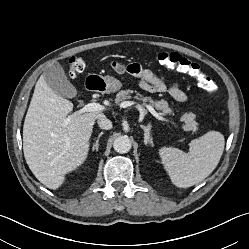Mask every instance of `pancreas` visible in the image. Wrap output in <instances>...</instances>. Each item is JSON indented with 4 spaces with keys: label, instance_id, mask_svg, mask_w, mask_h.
Returning <instances> with one entry per match:
<instances>
[{
    "label": "pancreas",
    "instance_id": "1",
    "mask_svg": "<svg viewBox=\"0 0 249 249\" xmlns=\"http://www.w3.org/2000/svg\"><path fill=\"white\" fill-rule=\"evenodd\" d=\"M136 93L135 98L138 100H141L144 103H149L150 106L154 107L156 110H159L161 112V114L165 115V114H171L172 110L169 107L168 103L164 100L161 101H154L151 97L148 96H143L142 94L133 91V90H121L117 95H116V99L115 102L117 104L120 103H124L126 102V100L131 99L132 93ZM195 119V114L193 113H185L182 116V120L184 121V126L183 129L185 131H196L197 130V122L194 120Z\"/></svg>",
    "mask_w": 249,
    "mask_h": 249
}]
</instances>
